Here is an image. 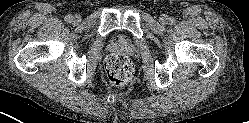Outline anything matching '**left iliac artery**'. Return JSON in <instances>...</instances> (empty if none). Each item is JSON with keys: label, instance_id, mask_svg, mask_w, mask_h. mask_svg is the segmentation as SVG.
Segmentation results:
<instances>
[{"label": "left iliac artery", "instance_id": "obj_1", "mask_svg": "<svg viewBox=\"0 0 249 123\" xmlns=\"http://www.w3.org/2000/svg\"><path fill=\"white\" fill-rule=\"evenodd\" d=\"M169 22H170V24L173 25V24H175L176 20H175V18L172 17V18H169Z\"/></svg>", "mask_w": 249, "mask_h": 123}]
</instances>
